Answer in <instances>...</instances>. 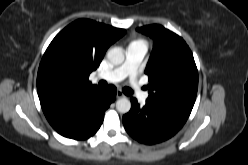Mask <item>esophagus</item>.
<instances>
[{
	"label": "esophagus",
	"instance_id": "obj_1",
	"mask_svg": "<svg viewBox=\"0 0 248 165\" xmlns=\"http://www.w3.org/2000/svg\"><path fill=\"white\" fill-rule=\"evenodd\" d=\"M116 97L119 99V98L125 97V95L123 94L122 91L118 90L117 93H116Z\"/></svg>",
	"mask_w": 248,
	"mask_h": 165
}]
</instances>
